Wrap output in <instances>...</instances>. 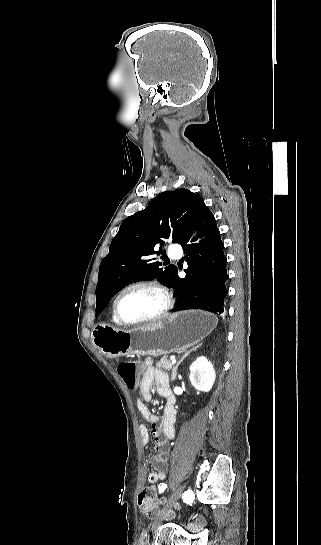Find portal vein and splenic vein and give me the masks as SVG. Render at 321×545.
<instances>
[{"instance_id": "18ae733b", "label": "portal vein and splenic vein", "mask_w": 321, "mask_h": 545, "mask_svg": "<svg viewBox=\"0 0 321 545\" xmlns=\"http://www.w3.org/2000/svg\"><path fill=\"white\" fill-rule=\"evenodd\" d=\"M170 358H171V359H176V356L170 355Z\"/></svg>"}]
</instances>
